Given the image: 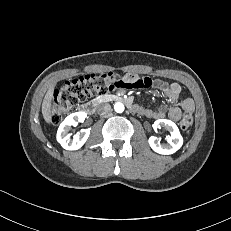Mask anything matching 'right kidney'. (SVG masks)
I'll list each match as a JSON object with an SVG mask.
<instances>
[{
  "mask_svg": "<svg viewBox=\"0 0 231 231\" xmlns=\"http://www.w3.org/2000/svg\"><path fill=\"white\" fill-rule=\"evenodd\" d=\"M87 114L85 112H76L68 117L60 124L57 131V141L66 150H78L87 141L90 129H82L79 133L73 136L71 139V134L68 133L71 126L78 122L85 120Z\"/></svg>",
  "mask_w": 231,
  "mask_h": 231,
  "instance_id": "ca27d5eb",
  "label": "right kidney"
}]
</instances>
